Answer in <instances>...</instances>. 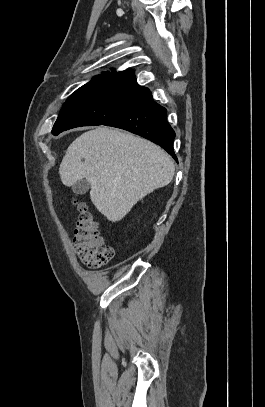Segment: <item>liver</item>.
Instances as JSON below:
<instances>
[{
  "mask_svg": "<svg viewBox=\"0 0 265 407\" xmlns=\"http://www.w3.org/2000/svg\"><path fill=\"white\" fill-rule=\"evenodd\" d=\"M174 171L173 160L159 146L105 126L77 137L59 167L67 187L86 179L91 201L111 222L122 220L139 200L167 186Z\"/></svg>",
  "mask_w": 265,
  "mask_h": 407,
  "instance_id": "liver-1",
  "label": "liver"
}]
</instances>
